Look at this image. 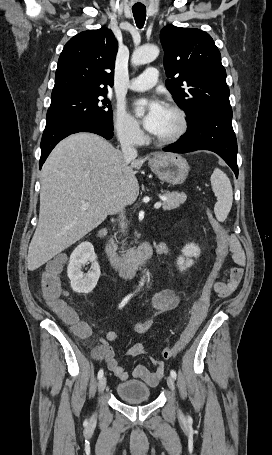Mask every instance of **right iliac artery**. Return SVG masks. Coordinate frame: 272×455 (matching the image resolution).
<instances>
[{"label": "right iliac artery", "mask_w": 272, "mask_h": 455, "mask_svg": "<svg viewBox=\"0 0 272 455\" xmlns=\"http://www.w3.org/2000/svg\"><path fill=\"white\" fill-rule=\"evenodd\" d=\"M132 294L127 295L122 302L119 304V308H122L125 306V304L129 301L131 298ZM103 376V369H100L98 372V379H100Z\"/></svg>", "instance_id": "obj_1"}]
</instances>
